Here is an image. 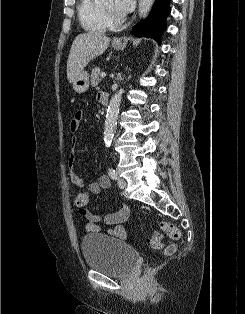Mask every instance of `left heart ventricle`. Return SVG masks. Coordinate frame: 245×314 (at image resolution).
Masks as SVG:
<instances>
[{
	"instance_id": "obj_1",
	"label": "left heart ventricle",
	"mask_w": 245,
	"mask_h": 314,
	"mask_svg": "<svg viewBox=\"0 0 245 314\" xmlns=\"http://www.w3.org/2000/svg\"><path fill=\"white\" fill-rule=\"evenodd\" d=\"M102 5L109 11L120 14L115 7V0H103Z\"/></svg>"
}]
</instances>
